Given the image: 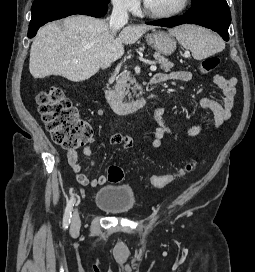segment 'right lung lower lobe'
I'll list each match as a JSON object with an SVG mask.
<instances>
[{
	"instance_id": "98d812e1",
	"label": "right lung lower lobe",
	"mask_w": 255,
	"mask_h": 272,
	"mask_svg": "<svg viewBox=\"0 0 255 272\" xmlns=\"http://www.w3.org/2000/svg\"><path fill=\"white\" fill-rule=\"evenodd\" d=\"M107 8V4L90 0H34L31 7L32 18L28 37H34L37 30L47 22L73 14L103 17Z\"/></svg>"
}]
</instances>
